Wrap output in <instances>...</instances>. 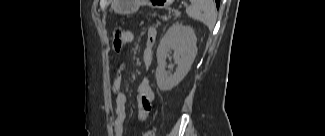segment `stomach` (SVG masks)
Listing matches in <instances>:
<instances>
[{
    "mask_svg": "<svg viewBox=\"0 0 325 136\" xmlns=\"http://www.w3.org/2000/svg\"><path fill=\"white\" fill-rule=\"evenodd\" d=\"M173 0H113V8L120 14H131L135 12L139 6L146 3L152 7L163 9L171 5Z\"/></svg>",
    "mask_w": 325,
    "mask_h": 136,
    "instance_id": "stomach-1",
    "label": "stomach"
}]
</instances>
